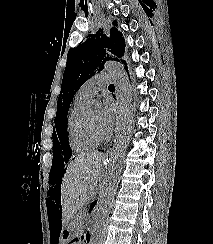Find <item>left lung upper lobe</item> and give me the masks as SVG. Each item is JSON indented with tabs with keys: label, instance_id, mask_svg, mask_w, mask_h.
I'll return each instance as SVG.
<instances>
[{
	"label": "left lung upper lobe",
	"instance_id": "left-lung-upper-lobe-1",
	"mask_svg": "<svg viewBox=\"0 0 213 244\" xmlns=\"http://www.w3.org/2000/svg\"><path fill=\"white\" fill-rule=\"evenodd\" d=\"M113 24L109 37L99 29L95 35H89L82 44L69 52L57 102L55 118L57 132L58 127L67 131V113L75 93L84 82L104 68L103 64L106 61H121L127 69L126 62L122 59L125 52V40L117 29V24L115 22Z\"/></svg>",
	"mask_w": 213,
	"mask_h": 244
}]
</instances>
